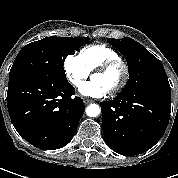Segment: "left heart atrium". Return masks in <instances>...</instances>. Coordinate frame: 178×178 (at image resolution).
<instances>
[{
    "instance_id": "left-heart-atrium-1",
    "label": "left heart atrium",
    "mask_w": 178,
    "mask_h": 178,
    "mask_svg": "<svg viewBox=\"0 0 178 178\" xmlns=\"http://www.w3.org/2000/svg\"><path fill=\"white\" fill-rule=\"evenodd\" d=\"M79 92L82 96L90 98H100L107 94L108 90L98 81L91 80L83 83L79 87Z\"/></svg>"
}]
</instances>
